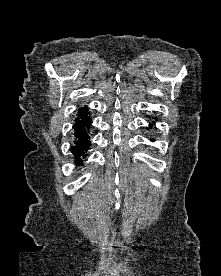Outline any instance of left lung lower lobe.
<instances>
[{
	"label": "left lung lower lobe",
	"instance_id": "0a47b994",
	"mask_svg": "<svg viewBox=\"0 0 221 276\" xmlns=\"http://www.w3.org/2000/svg\"><path fill=\"white\" fill-rule=\"evenodd\" d=\"M155 120H156V118H155ZM154 124H155V122H153V124L150 123L149 128H152Z\"/></svg>",
	"mask_w": 221,
	"mask_h": 276
}]
</instances>
